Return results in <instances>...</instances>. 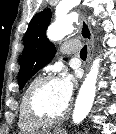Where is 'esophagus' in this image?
<instances>
[{
    "label": "esophagus",
    "instance_id": "34e87169",
    "mask_svg": "<svg viewBox=\"0 0 116 134\" xmlns=\"http://www.w3.org/2000/svg\"><path fill=\"white\" fill-rule=\"evenodd\" d=\"M79 20H80L79 33L81 37L86 40L88 45V57L85 63V70L87 71L88 66L93 58L94 36L83 14L80 15Z\"/></svg>",
    "mask_w": 116,
    "mask_h": 134
}]
</instances>
